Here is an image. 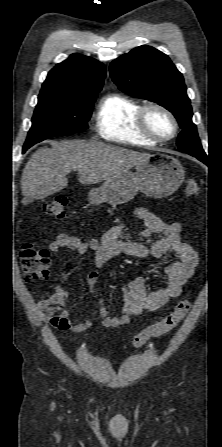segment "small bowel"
Returning a JSON list of instances; mask_svg holds the SVG:
<instances>
[{"label": "small bowel", "mask_w": 222, "mask_h": 447, "mask_svg": "<svg viewBox=\"0 0 222 447\" xmlns=\"http://www.w3.org/2000/svg\"><path fill=\"white\" fill-rule=\"evenodd\" d=\"M134 214L146 225L145 229L138 232L139 236L149 238L152 234H160L161 238L150 245L132 240H121L124 224L117 223L99 239L84 241L63 233L49 245L51 253H58L64 248L80 254L88 249L94 251L96 268L90 269L86 274L87 284L92 291L98 289V270L117 256L159 259L167 252L173 253L174 260L164 268L168 279L165 287L148 293L145 279L140 276L134 277L124 285V307L120 316H111L105 307L99 306L98 315L102 319L101 325L105 328L125 325L132 317L140 315L144 310L156 311L167 306L180 295L182 287L191 279L198 263L197 253L186 240L181 222L168 221L143 207L137 208ZM68 298L69 291L57 285L53 294L38 301L37 307L50 325L58 330L82 333L91 329L94 326L91 320L72 321L67 309Z\"/></svg>", "instance_id": "small-bowel-1"}]
</instances>
